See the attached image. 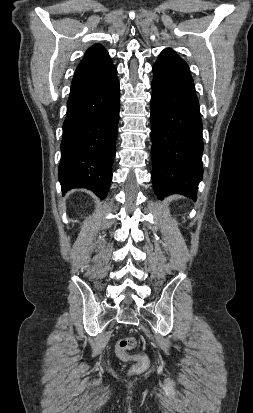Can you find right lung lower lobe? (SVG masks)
<instances>
[{"mask_svg": "<svg viewBox=\"0 0 253 413\" xmlns=\"http://www.w3.org/2000/svg\"><path fill=\"white\" fill-rule=\"evenodd\" d=\"M117 69L89 90L70 96L63 123L59 181L62 191L86 188L107 196L119 121Z\"/></svg>", "mask_w": 253, "mask_h": 413, "instance_id": "1", "label": "right lung lower lobe"}]
</instances>
